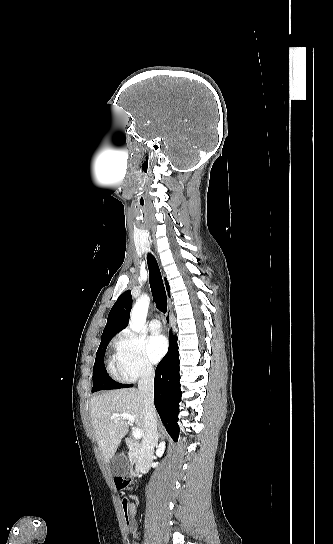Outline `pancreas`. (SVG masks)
Masks as SVG:
<instances>
[{
	"label": "pancreas",
	"instance_id": "1",
	"mask_svg": "<svg viewBox=\"0 0 333 544\" xmlns=\"http://www.w3.org/2000/svg\"><path fill=\"white\" fill-rule=\"evenodd\" d=\"M135 456H136V453H135L134 451L130 450V451H129V457H130L131 459H133V458H135Z\"/></svg>",
	"mask_w": 333,
	"mask_h": 544
}]
</instances>
